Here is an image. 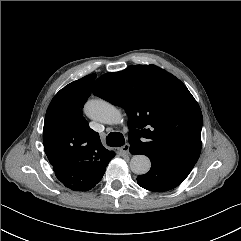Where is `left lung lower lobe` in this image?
<instances>
[{"label":"left lung lower lobe","instance_id":"obj_1","mask_svg":"<svg viewBox=\"0 0 241 241\" xmlns=\"http://www.w3.org/2000/svg\"><path fill=\"white\" fill-rule=\"evenodd\" d=\"M130 151L133 154L140 153L132 146H130ZM150 160V171L137 177L138 185L150 191L162 192L171 190L180 185L190 173L189 170L163 161Z\"/></svg>","mask_w":241,"mask_h":241}]
</instances>
